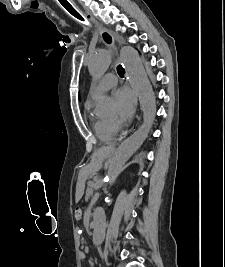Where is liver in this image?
Listing matches in <instances>:
<instances>
[{"mask_svg":"<svg viewBox=\"0 0 225 267\" xmlns=\"http://www.w3.org/2000/svg\"><path fill=\"white\" fill-rule=\"evenodd\" d=\"M105 157H106V155L102 150H99L98 152L94 153L92 156L91 163L87 167V171L88 172L98 171L101 168ZM82 194H83V186L81 187L80 191L77 192L76 199L79 200L81 198Z\"/></svg>","mask_w":225,"mask_h":267,"instance_id":"1","label":"liver"}]
</instances>
